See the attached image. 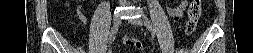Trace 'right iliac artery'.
<instances>
[{
	"instance_id": "obj_1",
	"label": "right iliac artery",
	"mask_w": 253,
	"mask_h": 53,
	"mask_svg": "<svg viewBox=\"0 0 253 53\" xmlns=\"http://www.w3.org/2000/svg\"><path fill=\"white\" fill-rule=\"evenodd\" d=\"M115 33H116V32H115L114 29L112 28V29H111V32H110V34H109V47H110V44H111L112 39L114 38ZM108 53H110V51H108Z\"/></svg>"
}]
</instances>
